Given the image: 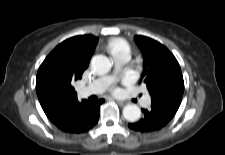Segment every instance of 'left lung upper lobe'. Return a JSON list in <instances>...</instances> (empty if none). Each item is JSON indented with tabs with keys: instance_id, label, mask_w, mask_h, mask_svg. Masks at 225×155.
<instances>
[{
	"instance_id": "5c2ea615",
	"label": "left lung upper lobe",
	"mask_w": 225,
	"mask_h": 155,
	"mask_svg": "<svg viewBox=\"0 0 225 155\" xmlns=\"http://www.w3.org/2000/svg\"><path fill=\"white\" fill-rule=\"evenodd\" d=\"M134 39L144 55L142 79L151 94L152 104H162L178 110L184 92L178 61L159 42L145 36H135Z\"/></svg>"
}]
</instances>
